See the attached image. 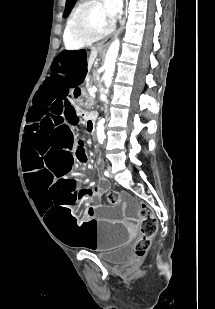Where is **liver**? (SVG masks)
I'll use <instances>...</instances> for the list:
<instances>
[{
	"label": "liver",
	"instance_id": "6515ba94",
	"mask_svg": "<svg viewBox=\"0 0 215 309\" xmlns=\"http://www.w3.org/2000/svg\"><path fill=\"white\" fill-rule=\"evenodd\" d=\"M97 54H98V50H97L96 46H91V52H90V56L88 58V68H91Z\"/></svg>",
	"mask_w": 215,
	"mask_h": 309
}]
</instances>
